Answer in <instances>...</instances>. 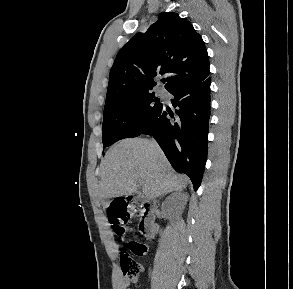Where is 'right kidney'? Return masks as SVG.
<instances>
[{
  "label": "right kidney",
  "mask_w": 293,
  "mask_h": 289,
  "mask_svg": "<svg viewBox=\"0 0 293 289\" xmlns=\"http://www.w3.org/2000/svg\"><path fill=\"white\" fill-rule=\"evenodd\" d=\"M186 199L181 198L180 194L170 195L162 204V209L173 216H179L185 205Z\"/></svg>",
  "instance_id": "1"
}]
</instances>
